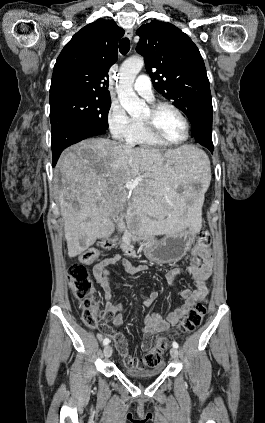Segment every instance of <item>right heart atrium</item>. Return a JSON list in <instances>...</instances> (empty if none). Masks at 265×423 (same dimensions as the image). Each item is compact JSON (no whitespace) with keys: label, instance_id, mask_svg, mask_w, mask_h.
Here are the masks:
<instances>
[{"label":"right heart atrium","instance_id":"obj_1","mask_svg":"<svg viewBox=\"0 0 265 423\" xmlns=\"http://www.w3.org/2000/svg\"><path fill=\"white\" fill-rule=\"evenodd\" d=\"M106 120L112 137L119 141H127L133 120L119 103L112 102L110 104Z\"/></svg>","mask_w":265,"mask_h":423}]
</instances>
